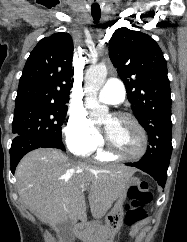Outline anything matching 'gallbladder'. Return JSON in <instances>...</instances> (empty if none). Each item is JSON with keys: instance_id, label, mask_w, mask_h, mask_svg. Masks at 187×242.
Returning a JSON list of instances; mask_svg holds the SVG:
<instances>
[{"instance_id": "1", "label": "gallbladder", "mask_w": 187, "mask_h": 242, "mask_svg": "<svg viewBox=\"0 0 187 242\" xmlns=\"http://www.w3.org/2000/svg\"><path fill=\"white\" fill-rule=\"evenodd\" d=\"M56 231L59 242H73L72 223L70 221L59 223Z\"/></svg>"}]
</instances>
